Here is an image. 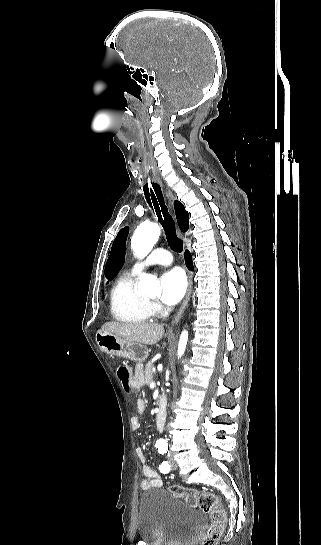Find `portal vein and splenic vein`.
<instances>
[{
	"instance_id": "1",
	"label": "portal vein and splenic vein",
	"mask_w": 321,
	"mask_h": 545,
	"mask_svg": "<svg viewBox=\"0 0 321 545\" xmlns=\"http://www.w3.org/2000/svg\"><path fill=\"white\" fill-rule=\"evenodd\" d=\"M153 373H157V370L155 368H152Z\"/></svg>"
}]
</instances>
